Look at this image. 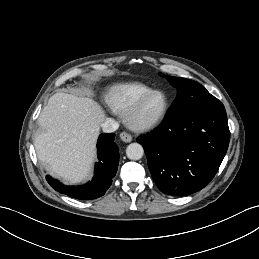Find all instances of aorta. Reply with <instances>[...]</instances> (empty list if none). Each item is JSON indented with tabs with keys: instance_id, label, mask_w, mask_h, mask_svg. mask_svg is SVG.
<instances>
[{
	"instance_id": "aorta-1",
	"label": "aorta",
	"mask_w": 259,
	"mask_h": 259,
	"mask_svg": "<svg viewBox=\"0 0 259 259\" xmlns=\"http://www.w3.org/2000/svg\"><path fill=\"white\" fill-rule=\"evenodd\" d=\"M144 149L138 143H131L126 148V155L130 160H139L143 157Z\"/></svg>"
}]
</instances>
